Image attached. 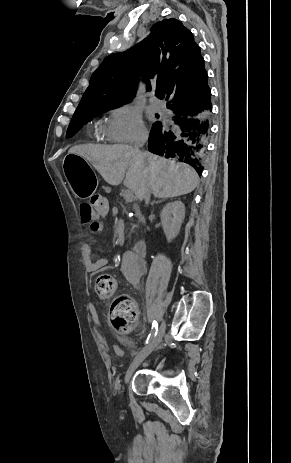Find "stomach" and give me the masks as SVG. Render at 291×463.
Here are the masks:
<instances>
[{
    "instance_id": "stomach-1",
    "label": "stomach",
    "mask_w": 291,
    "mask_h": 463,
    "mask_svg": "<svg viewBox=\"0 0 291 463\" xmlns=\"http://www.w3.org/2000/svg\"><path fill=\"white\" fill-rule=\"evenodd\" d=\"M63 170L73 194L80 199L90 197L96 189V178L89 163L69 151L63 162Z\"/></svg>"
}]
</instances>
